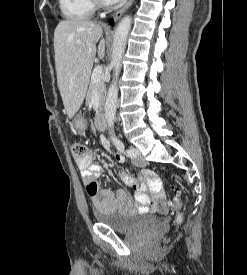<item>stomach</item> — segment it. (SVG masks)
<instances>
[{"label": "stomach", "mask_w": 247, "mask_h": 275, "mask_svg": "<svg viewBox=\"0 0 247 275\" xmlns=\"http://www.w3.org/2000/svg\"><path fill=\"white\" fill-rule=\"evenodd\" d=\"M73 125L79 131H83L86 127L85 120L80 118L79 116L74 118Z\"/></svg>", "instance_id": "0dacf381"}]
</instances>
